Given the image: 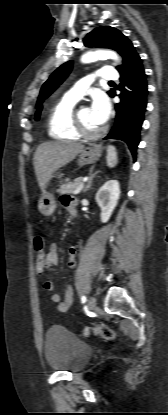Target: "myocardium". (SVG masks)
<instances>
[{
  "mask_svg": "<svg viewBox=\"0 0 168 415\" xmlns=\"http://www.w3.org/2000/svg\"><path fill=\"white\" fill-rule=\"evenodd\" d=\"M73 124L77 133L85 138L93 139L100 137L105 132V127H101L96 131H91L85 127L78 115V109L73 111Z\"/></svg>",
  "mask_w": 168,
  "mask_h": 415,
  "instance_id": "f54148a6",
  "label": "myocardium"
}]
</instances>
